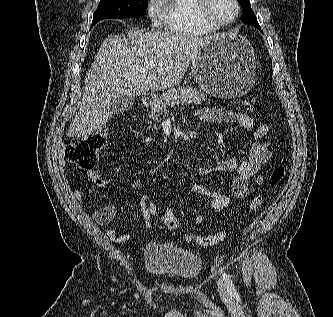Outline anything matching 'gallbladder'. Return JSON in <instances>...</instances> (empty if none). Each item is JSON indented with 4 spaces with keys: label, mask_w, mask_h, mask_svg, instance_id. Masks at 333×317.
<instances>
[{
    "label": "gallbladder",
    "mask_w": 333,
    "mask_h": 317,
    "mask_svg": "<svg viewBox=\"0 0 333 317\" xmlns=\"http://www.w3.org/2000/svg\"><path fill=\"white\" fill-rule=\"evenodd\" d=\"M134 103L133 97L128 96H116L111 100L110 105L113 113L119 114L128 111Z\"/></svg>",
    "instance_id": "obj_1"
}]
</instances>
